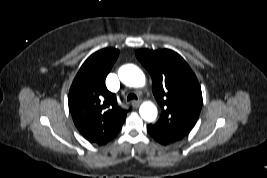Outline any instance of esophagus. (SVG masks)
<instances>
[{
    "mask_svg": "<svg viewBox=\"0 0 267 178\" xmlns=\"http://www.w3.org/2000/svg\"><path fill=\"white\" fill-rule=\"evenodd\" d=\"M140 104H141V100H140V99H139V100H134V101H132V105H133L135 108H138Z\"/></svg>",
    "mask_w": 267,
    "mask_h": 178,
    "instance_id": "obj_1",
    "label": "esophagus"
}]
</instances>
